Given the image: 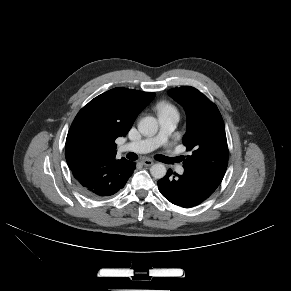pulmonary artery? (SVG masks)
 Listing matches in <instances>:
<instances>
[{"label":"pulmonary artery","instance_id":"1","mask_svg":"<svg viewBox=\"0 0 291 291\" xmlns=\"http://www.w3.org/2000/svg\"><path fill=\"white\" fill-rule=\"evenodd\" d=\"M179 121L178 114L172 113V114H165L159 116V124H160V130L157 135L146 138L140 141L131 142L125 144L122 149L125 151H133L136 153H147L150 152L160 146H164V154L166 157L170 159L175 158L174 152L168 147V139L171 135V133L176 128V125ZM174 162V161H172ZM177 172L179 174H183L184 168L182 166H177Z\"/></svg>","mask_w":291,"mask_h":291}]
</instances>
